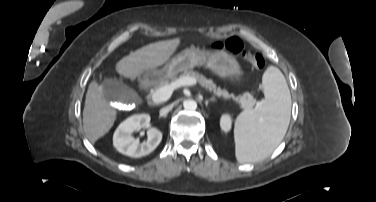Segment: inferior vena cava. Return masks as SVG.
Segmentation results:
<instances>
[{"label":"inferior vena cava","instance_id":"inferior-vena-cava-1","mask_svg":"<svg viewBox=\"0 0 376 202\" xmlns=\"http://www.w3.org/2000/svg\"><path fill=\"white\" fill-rule=\"evenodd\" d=\"M171 106H166L160 110V115H165L171 110Z\"/></svg>","mask_w":376,"mask_h":202}]
</instances>
